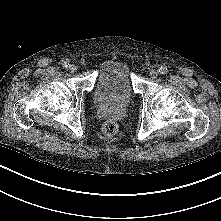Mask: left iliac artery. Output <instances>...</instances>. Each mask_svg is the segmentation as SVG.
<instances>
[{
    "mask_svg": "<svg viewBox=\"0 0 221 221\" xmlns=\"http://www.w3.org/2000/svg\"><path fill=\"white\" fill-rule=\"evenodd\" d=\"M167 72H168V68H167L166 66H161V67L159 68V73H160V74L164 75V74H166Z\"/></svg>",
    "mask_w": 221,
    "mask_h": 221,
    "instance_id": "obj_1",
    "label": "left iliac artery"
}]
</instances>
